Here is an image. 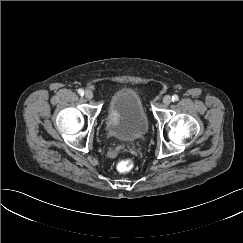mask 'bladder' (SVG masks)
<instances>
[{
  "instance_id": "obj_1",
  "label": "bladder",
  "mask_w": 243,
  "mask_h": 243,
  "mask_svg": "<svg viewBox=\"0 0 243 243\" xmlns=\"http://www.w3.org/2000/svg\"><path fill=\"white\" fill-rule=\"evenodd\" d=\"M108 133L122 141L142 138L149 129V119L142 100L133 89L117 91L110 99L105 117Z\"/></svg>"
}]
</instances>
